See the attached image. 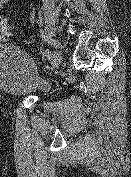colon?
Here are the masks:
<instances>
[{"label":"colon","instance_id":"5ec220e1","mask_svg":"<svg viewBox=\"0 0 131 177\" xmlns=\"http://www.w3.org/2000/svg\"><path fill=\"white\" fill-rule=\"evenodd\" d=\"M12 36L9 21L5 17H0V43L8 41Z\"/></svg>","mask_w":131,"mask_h":177}]
</instances>
